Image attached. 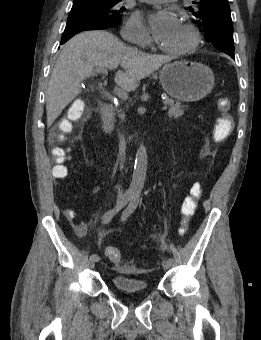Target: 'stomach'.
<instances>
[{"label":"stomach","mask_w":261,"mask_h":340,"mask_svg":"<svg viewBox=\"0 0 261 340\" xmlns=\"http://www.w3.org/2000/svg\"><path fill=\"white\" fill-rule=\"evenodd\" d=\"M159 78L166 93L182 102L199 101L210 94L214 87L212 70L198 62L176 61L165 64Z\"/></svg>","instance_id":"stomach-1"}]
</instances>
